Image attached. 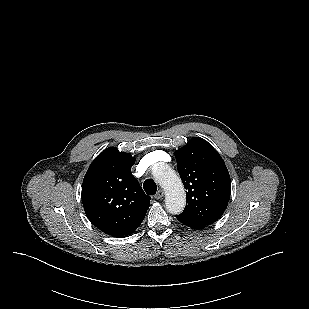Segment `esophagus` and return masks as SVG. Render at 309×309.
<instances>
[{
	"label": "esophagus",
	"instance_id": "obj_1",
	"mask_svg": "<svg viewBox=\"0 0 309 309\" xmlns=\"http://www.w3.org/2000/svg\"><path fill=\"white\" fill-rule=\"evenodd\" d=\"M164 196V191L162 189L158 190L156 195L154 196L155 199L159 200Z\"/></svg>",
	"mask_w": 309,
	"mask_h": 309
}]
</instances>
